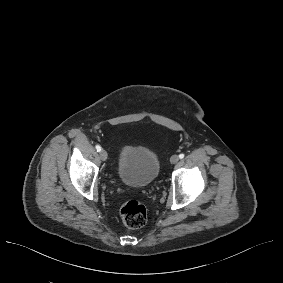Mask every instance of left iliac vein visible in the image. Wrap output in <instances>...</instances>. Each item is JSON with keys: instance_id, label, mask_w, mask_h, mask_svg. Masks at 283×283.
<instances>
[{"instance_id": "left-iliac-vein-1", "label": "left iliac vein", "mask_w": 283, "mask_h": 283, "mask_svg": "<svg viewBox=\"0 0 283 283\" xmlns=\"http://www.w3.org/2000/svg\"><path fill=\"white\" fill-rule=\"evenodd\" d=\"M178 160H179V156L176 155V154H174V155L170 158V162H171L172 164H176V163L178 162Z\"/></svg>"}]
</instances>
